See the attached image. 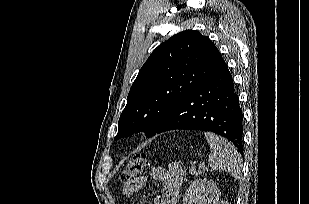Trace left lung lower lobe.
Segmentation results:
<instances>
[{
  "label": "left lung lower lobe",
  "instance_id": "0a47b994",
  "mask_svg": "<svg viewBox=\"0 0 309 204\" xmlns=\"http://www.w3.org/2000/svg\"><path fill=\"white\" fill-rule=\"evenodd\" d=\"M177 129L214 132L243 153V114L225 62L181 100L151 136Z\"/></svg>",
  "mask_w": 309,
  "mask_h": 204
}]
</instances>
